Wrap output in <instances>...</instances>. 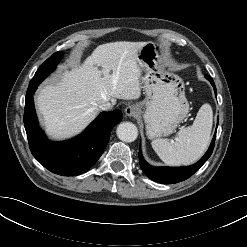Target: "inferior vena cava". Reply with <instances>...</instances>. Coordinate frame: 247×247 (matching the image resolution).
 Masks as SVG:
<instances>
[{
	"instance_id": "inferior-vena-cava-1",
	"label": "inferior vena cava",
	"mask_w": 247,
	"mask_h": 247,
	"mask_svg": "<svg viewBox=\"0 0 247 247\" xmlns=\"http://www.w3.org/2000/svg\"><path fill=\"white\" fill-rule=\"evenodd\" d=\"M111 107H112V105L109 102H105V103H102L101 105H99V108L103 111H107V110L111 109Z\"/></svg>"
}]
</instances>
